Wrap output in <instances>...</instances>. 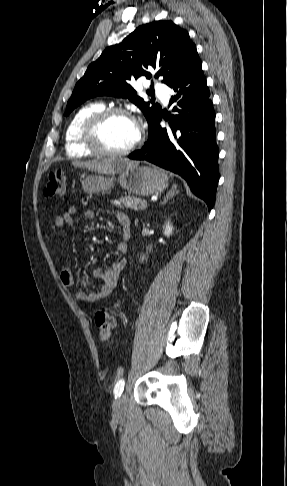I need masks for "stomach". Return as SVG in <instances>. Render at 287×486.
Returning <instances> with one entry per match:
<instances>
[{
	"instance_id": "0dacf381",
	"label": "stomach",
	"mask_w": 287,
	"mask_h": 486,
	"mask_svg": "<svg viewBox=\"0 0 287 486\" xmlns=\"http://www.w3.org/2000/svg\"><path fill=\"white\" fill-rule=\"evenodd\" d=\"M118 182L129 193L139 196L158 194L168 186L167 174L155 167L131 166L122 170L118 177L90 175L82 181V188L88 194L106 192Z\"/></svg>"
}]
</instances>
